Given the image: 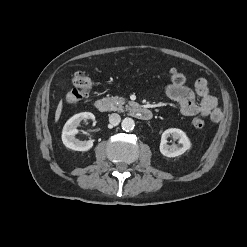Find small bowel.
<instances>
[{
    "instance_id": "c3829d8e",
    "label": "small bowel",
    "mask_w": 247,
    "mask_h": 247,
    "mask_svg": "<svg viewBox=\"0 0 247 247\" xmlns=\"http://www.w3.org/2000/svg\"><path fill=\"white\" fill-rule=\"evenodd\" d=\"M164 93L168 99L179 104L180 113L185 117H209L213 122L222 118L217 99L209 93L208 82L204 78L195 82V92L185 85L172 83L165 88Z\"/></svg>"
}]
</instances>
